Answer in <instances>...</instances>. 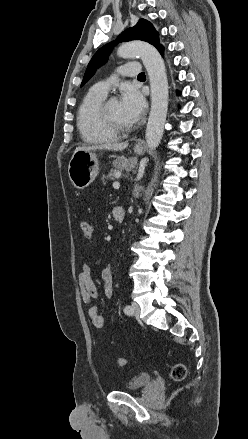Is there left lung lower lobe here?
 Instances as JSON below:
<instances>
[{
    "label": "left lung lower lobe",
    "mask_w": 248,
    "mask_h": 439,
    "mask_svg": "<svg viewBox=\"0 0 248 439\" xmlns=\"http://www.w3.org/2000/svg\"><path fill=\"white\" fill-rule=\"evenodd\" d=\"M159 52L162 54V52H163V48H161V49L159 50Z\"/></svg>",
    "instance_id": "1"
}]
</instances>
